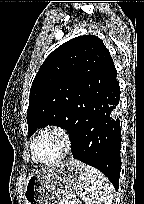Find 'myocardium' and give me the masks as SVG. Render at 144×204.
<instances>
[{"mask_svg":"<svg viewBox=\"0 0 144 204\" xmlns=\"http://www.w3.org/2000/svg\"><path fill=\"white\" fill-rule=\"evenodd\" d=\"M47 133H55L58 136H60L64 143V150L61 153V155L58 156L57 158L51 161L43 162L36 157L35 147L38 139ZM73 147H74L73 137L66 128L59 125H50L40 130L35 136V138L33 139L31 144V154H32L33 160L40 165H54L65 160L72 153Z\"/></svg>","mask_w":144,"mask_h":204,"instance_id":"f54148a6","label":"myocardium"}]
</instances>
